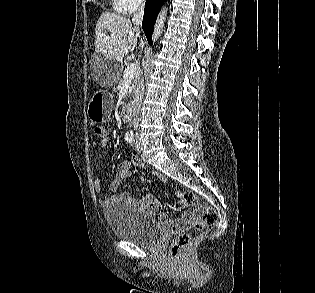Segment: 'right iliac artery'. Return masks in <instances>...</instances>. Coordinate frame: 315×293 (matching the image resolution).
<instances>
[{"label":"right iliac artery","mask_w":315,"mask_h":293,"mask_svg":"<svg viewBox=\"0 0 315 293\" xmlns=\"http://www.w3.org/2000/svg\"><path fill=\"white\" fill-rule=\"evenodd\" d=\"M125 140L128 143H132L134 141V134L132 132L126 133Z\"/></svg>","instance_id":"obj_1"}]
</instances>
